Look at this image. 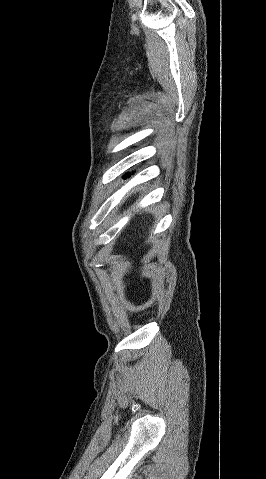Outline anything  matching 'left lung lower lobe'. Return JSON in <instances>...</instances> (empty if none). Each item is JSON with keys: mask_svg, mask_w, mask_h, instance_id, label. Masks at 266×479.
I'll list each match as a JSON object with an SVG mask.
<instances>
[{"mask_svg": "<svg viewBox=\"0 0 266 479\" xmlns=\"http://www.w3.org/2000/svg\"><path fill=\"white\" fill-rule=\"evenodd\" d=\"M127 176L129 177V176H130V174L128 173V174H127Z\"/></svg>", "mask_w": 266, "mask_h": 479, "instance_id": "0a47b994", "label": "left lung lower lobe"}]
</instances>
